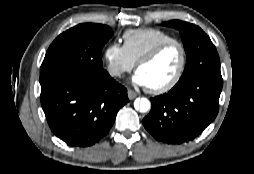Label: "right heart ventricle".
Masks as SVG:
<instances>
[{"label":"right heart ventricle","instance_id":"1","mask_svg":"<svg viewBox=\"0 0 254 174\" xmlns=\"http://www.w3.org/2000/svg\"><path fill=\"white\" fill-rule=\"evenodd\" d=\"M122 38L123 46L134 63H137L157 45L175 39L172 34L157 28L128 30Z\"/></svg>","mask_w":254,"mask_h":174}]
</instances>
